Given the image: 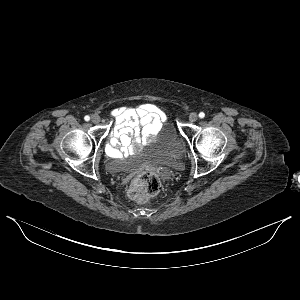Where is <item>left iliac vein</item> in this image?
<instances>
[{
	"mask_svg": "<svg viewBox=\"0 0 300 300\" xmlns=\"http://www.w3.org/2000/svg\"><path fill=\"white\" fill-rule=\"evenodd\" d=\"M198 120V115L196 114V113H191L190 115H189V121L190 122H196Z\"/></svg>",
	"mask_w": 300,
	"mask_h": 300,
	"instance_id": "1",
	"label": "left iliac vein"
}]
</instances>
